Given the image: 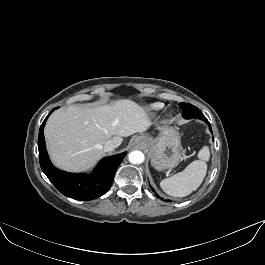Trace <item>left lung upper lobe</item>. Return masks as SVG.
I'll return each instance as SVG.
<instances>
[{"mask_svg":"<svg viewBox=\"0 0 265 265\" xmlns=\"http://www.w3.org/2000/svg\"><path fill=\"white\" fill-rule=\"evenodd\" d=\"M179 105L182 108L183 116L187 119L193 118V117H196L199 115H203L201 113V111H199V109L197 107L193 106L192 104L180 103Z\"/></svg>","mask_w":265,"mask_h":265,"instance_id":"5c2ea615","label":"left lung upper lobe"}]
</instances>
